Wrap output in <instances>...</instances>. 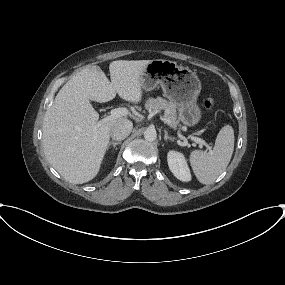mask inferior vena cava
I'll list each match as a JSON object with an SVG mask.
<instances>
[{
    "instance_id": "602c4592",
    "label": "inferior vena cava",
    "mask_w": 285,
    "mask_h": 285,
    "mask_svg": "<svg viewBox=\"0 0 285 285\" xmlns=\"http://www.w3.org/2000/svg\"><path fill=\"white\" fill-rule=\"evenodd\" d=\"M133 128L131 121L127 119L118 120L110 130V135L113 140L121 141L129 136Z\"/></svg>"
}]
</instances>
